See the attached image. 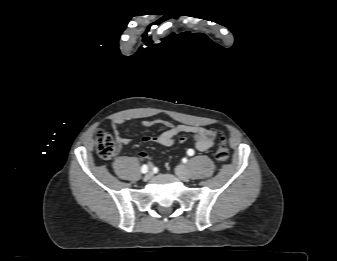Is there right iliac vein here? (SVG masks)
Returning <instances> with one entry per match:
<instances>
[{
	"label": "right iliac vein",
	"mask_w": 337,
	"mask_h": 261,
	"mask_svg": "<svg viewBox=\"0 0 337 261\" xmlns=\"http://www.w3.org/2000/svg\"><path fill=\"white\" fill-rule=\"evenodd\" d=\"M152 177V171L150 170L144 177V180L147 181Z\"/></svg>",
	"instance_id": "1"
}]
</instances>
